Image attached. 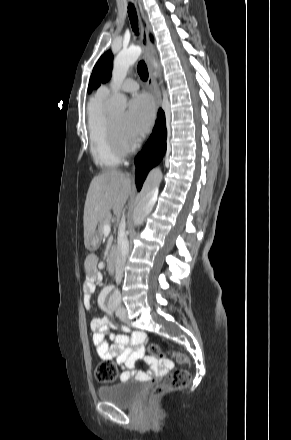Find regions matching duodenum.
<instances>
[{
  "label": "duodenum",
  "mask_w": 291,
  "mask_h": 440,
  "mask_svg": "<svg viewBox=\"0 0 291 440\" xmlns=\"http://www.w3.org/2000/svg\"><path fill=\"white\" fill-rule=\"evenodd\" d=\"M107 267L110 274H113L116 266V252L111 250L106 257Z\"/></svg>",
  "instance_id": "1"
}]
</instances>
